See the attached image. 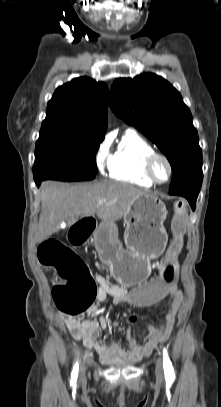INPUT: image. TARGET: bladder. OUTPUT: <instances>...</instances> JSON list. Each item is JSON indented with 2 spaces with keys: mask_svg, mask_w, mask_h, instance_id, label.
Listing matches in <instances>:
<instances>
[{
  "mask_svg": "<svg viewBox=\"0 0 221 407\" xmlns=\"http://www.w3.org/2000/svg\"><path fill=\"white\" fill-rule=\"evenodd\" d=\"M103 361L108 365L118 366V367L132 366L136 363V361H125V360H118V359H104Z\"/></svg>",
  "mask_w": 221,
  "mask_h": 407,
  "instance_id": "bladder-1",
  "label": "bladder"
}]
</instances>
